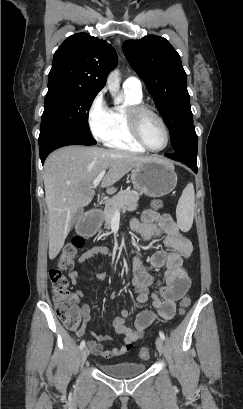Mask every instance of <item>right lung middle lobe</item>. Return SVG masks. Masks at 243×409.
Segmentation results:
<instances>
[{
    "label": "right lung middle lobe",
    "instance_id": "obj_1",
    "mask_svg": "<svg viewBox=\"0 0 243 409\" xmlns=\"http://www.w3.org/2000/svg\"><path fill=\"white\" fill-rule=\"evenodd\" d=\"M97 93L64 83H48L39 138L53 130H67L90 136L88 112Z\"/></svg>",
    "mask_w": 243,
    "mask_h": 409
}]
</instances>
